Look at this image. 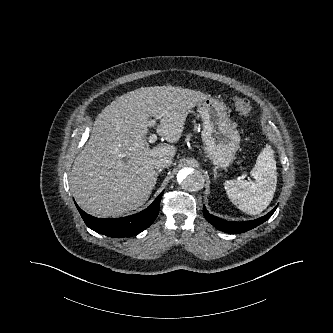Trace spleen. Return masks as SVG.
<instances>
[{
  "label": "spleen",
  "instance_id": "obj_1",
  "mask_svg": "<svg viewBox=\"0 0 333 333\" xmlns=\"http://www.w3.org/2000/svg\"><path fill=\"white\" fill-rule=\"evenodd\" d=\"M276 169L274 151L266 145L250 172L253 181L237 179L224 182L228 198L246 214H260L273 199L277 184Z\"/></svg>",
  "mask_w": 333,
  "mask_h": 333
}]
</instances>
